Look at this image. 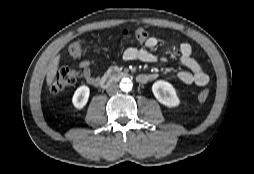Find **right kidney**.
<instances>
[{
  "mask_svg": "<svg viewBox=\"0 0 254 174\" xmlns=\"http://www.w3.org/2000/svg\"><path fill=\"white\" fill-rule=\"evenodd\" d=\"M89 94H90V89L88 86H85V85L80 86L73 95V98H72L73 105L77 109L83 108L88 102Z\"/></svg>",
  "mask_w": 254,
  "mask_h": 174,
  "instance_id": "obj_1",
  "label": "right kidney"
}]
</instances>
